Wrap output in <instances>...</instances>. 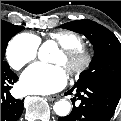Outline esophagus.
<instances>
[{"label": "esophagus", "mask_w": 121, "mask_h": 121, "mask_svg": "<svg viewBox=\"0 0 121 121\" xmlns=\"http://www.w3.org/2000/svg\"><path fill=\"white\" fill-rule=\"evenodd\" d=\"M59 96L58 95H51V96H47L46 99L49 100V101H54L56 99H58Z\"/></svg>", "instance_id": "1"}]
</instances>
